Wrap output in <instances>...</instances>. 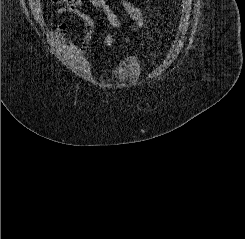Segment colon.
Here are the masks:
<instances>
[{
	"label": "colon",
	"mask_w": 245,
	"mask_h": 239,
	"mask_svg": "<svg viewBox=\"0 0 245 239\" xmlns=\"http://www.w3.org/2000/svg\"><path fill=\"white\" fill-rule=\"evenodd\" d=\"M55 3H60V2H74V0H53Z\"/></svg>",
	"instance_id": "obj_1"
}]
</instances>
